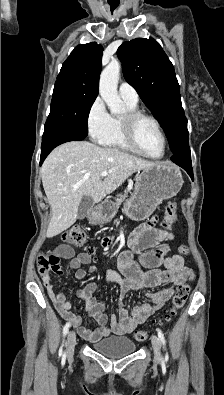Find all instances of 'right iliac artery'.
Returning a JSON list of instances; mask_svg holds the SVG:
<instances>
[{
  "mask_svg": "<svg viewBox=\"0 0 224 395\" xmlns=\"http://www.w3.org/2000/svg\"><path fill=\"white\" fill-rule=\"evenodd\" d=\"M70 326H71V323H70V322H67V323L65 324V326H64V328H63V336H64V337H65L66 334L68 333ZM63 346H64V344H62V346H61V348H60V350H59V353L62 354L63 359H65V358H66V354H65V352H63Z\"/></svg>",
  "mask_w": 224,
  "mask_h": 395,
  "instance_id": "obj_1",
  "label": "right iliac artery"
}]
</instances>
